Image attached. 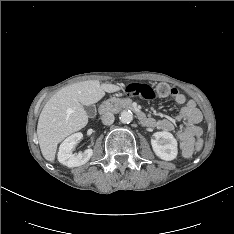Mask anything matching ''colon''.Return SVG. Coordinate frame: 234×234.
Wrapping results in <instances>:
<instances>
[{"label":"colon","mask_w":234,"mask_h":234,"mask_svg":"<svg viewBox=\"0 0 234 234\" xmlns=\"http://www.w3.org/2000/svg\"><path fill=\"white\" fill-rule=\"evenodd\" d=\"M127 94L141 96L145 99H154L156 97H167L172 96L173 89H171L167 84H159L156 88H152L146 83H131L125 87L124 90ZM202 143L197 141L195 148L199 149Z\"/></svg>","instance_id":"colon-1"}]
</instances>
